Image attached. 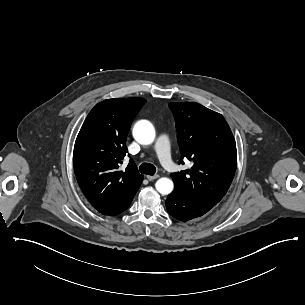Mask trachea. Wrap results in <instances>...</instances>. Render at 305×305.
I'll use <instances>...</instances> for the list:
<instances>
[{
	"label": "trachea",
	"instance_id": "obj_1",
	"mask_svg": "<svg viewBox=\"0 0 305 305\" xmlns=\"http://www.w3.org/2000/svg\"><path fill=\"white\" fill-rule=\"evenodd\" d=\"M139 170L142 174L154 175L156 172V167L151 163H143L140 165Z\"/></svg>",
	"mask_w": 305,
	"mask_h": 305
}]
</instances>
